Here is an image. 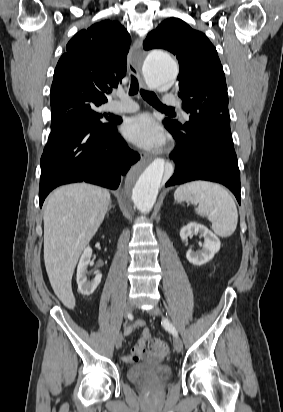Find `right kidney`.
Wrapping results in <instances>:
<instances>
[{
    "label": "right kidney",
    "instance_id": "ca27d5eb",
    "mask_svg": "<svg viewBox=\"0 0 283 412\" xmlns=\"http://www.w3.org/2000/svg\"><path fill=\"white\" fill-rule=\"evenodd\" d=\"M92 256V249L88 246L84 249V252L80 258L78 267H77V284L78 291L84 296L91 295L97 286L100 284L102 279V274L97 273L95 278L92 281H87V267L90 263Z\"/></svg>",
    "mask_w": 283,
    "mask_h": 412
}]
</instances>
